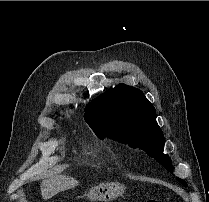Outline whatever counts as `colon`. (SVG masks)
Here are the masks:
<instances>
[{
    "instance_id": "obj_1",
    "label": "colon",
    "mask_w": 209,
    "mask_h": 202,
    "mask_svg": "<svg viewBox=\"0 0 209 202\" xmlns=\"http://www.w3.org/2000/svg\"><path fill=\"white\" fill-rule=\"evenodd\" d=\"M145 202H158V201L157 200H154V199H149V200H147Z\"/></svg>"
}]
</instances>
